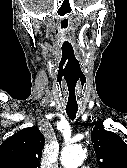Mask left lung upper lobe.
I'll list each match as a JSON object with an SVG mask.
<instances>
[{"instance_id": "5c2ea615", "label": "left lung upper lobe", "mask_w": 127, "mask_h": 168, "mask_svg": "<svg viewBox=\"0 0 127 168\" xmlns=\"http://www.w3.org/2000/svg\"><path fill=\"white\" fill-rule=\"evenodd\" d=\"M94 125L91 141L99 168H127V144L116 133L106 131L103 122Z\"/></svg>"}]
</instances>
